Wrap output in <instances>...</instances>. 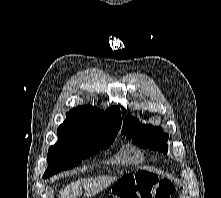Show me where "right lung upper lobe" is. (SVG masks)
Wrapping results in <instances>:
<instances>
[{
    "label": "right lung upper lobe",
    "mask_w": 221,
    "mask_h": 198,
    "mask_svg": "<svg viewBox=\"0 0 221 198\" xmlns=\"http://www.w3.org/2000/svg\"><path fill=\"white\" fill-rule=\"evenodd\" d=\"M121 114L117 106H112L106 112L93 106L73 108L67 113L66 120L57 130L58 135L85 136L102 130L119 131Z\"/></svg>",
    "instance_id": "right-lung-upper-lobe-1"
}]
</instances>
